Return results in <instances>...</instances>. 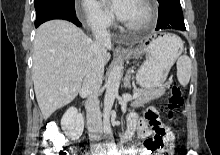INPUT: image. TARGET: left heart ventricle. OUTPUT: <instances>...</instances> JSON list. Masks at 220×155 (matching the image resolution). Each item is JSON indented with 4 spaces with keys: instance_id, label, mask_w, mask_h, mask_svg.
<instances>
[{
    "instance_id": "1",
    "label": "left heart ventricle",
    "mask_w": 220,
    "mask_h": 155,
    "mask_svg": "<svg viewBox=\"0 0 220 155\" xmlns=\"http://www.w3.org/2000/svg\"><path fill=\"white\" fill-rule=\"evenodd\" d=\"M146 17V10L144 6L137 0H132L130 9L124 21L126 23L138 24Z\"/></svg>"
}]
</instances>
